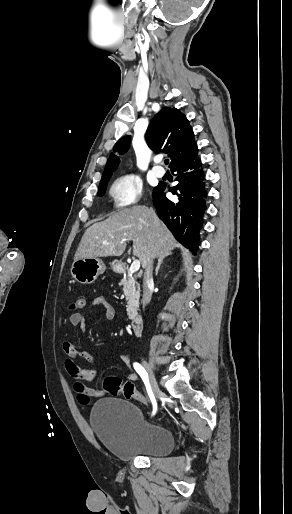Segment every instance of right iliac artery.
<instances>
[{"label": "right iliac artery", "mask_w": 292, "mask_h": 514, "mask_svg": "<svg viewBox=\"0 0 292 514\" xmlns=\"http://www.w3.org/2000/svg\"><path fill=\"white\" fill-rule=\"evenodd\" d=\"M133 367L136 370V372L140 375V377L142 378V380L146 386L147 393H148L149 398L153 405L152 415H154L157 411V403H156L155 397L153 395V392L151 390L148 374H147L146 370L137 362L133 363Z\"/></svg>", "instance_id": "obj_1"}]
</instances>
